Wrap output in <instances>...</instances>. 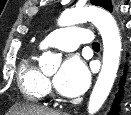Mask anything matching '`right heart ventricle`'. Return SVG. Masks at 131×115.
Segmentation results:
<instances>
[{"label":"right heart ventricle","instance_id":"right-heart-ventricle-1","mask_svg":"<svg viewBox=\"0 0 131 115\" xmlns=\"http://www.w3.org/2000/svg\"><path fill=\"white\" fill-rule=\"evenodd\" d=\"M17 81L22 96L28 101L37 102L46 94V80L35 64L33 54L21 60Z\"/></svg>","mask_w":131,"mask_h":115}]
</instances>
